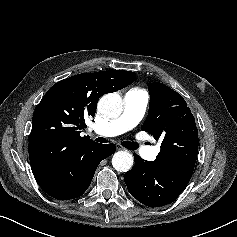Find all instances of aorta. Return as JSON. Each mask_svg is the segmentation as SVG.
I'll return each mask as SVG.
<instances>
[{
    "label": "aorta",
    "mask_w": 237,
    "mask_h": 237,
    "mask_svg": "<svg viewBox=\"0 0 237 237\" xmlns=\"http://www.w3.org/2000/svg\"><path fill=\"white\" fill-rule=\"evenodd\" d=\"M99 112L110 118L121 115L123 111V103L119 94L108 93L102 96L98 102ZM134 163L133 156L127 151H118L113 155L112 165L118 172L129 171Z\"/></svg>",
    "instance_id": "aorta-1"
}]
</instances>
